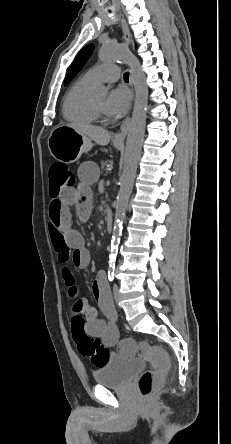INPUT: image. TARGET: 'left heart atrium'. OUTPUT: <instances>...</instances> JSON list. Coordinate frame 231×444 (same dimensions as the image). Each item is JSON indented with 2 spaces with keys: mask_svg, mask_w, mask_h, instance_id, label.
I'll list each match as a JSON object with an SVG mask.
<instances>
[{
  "mask_svg": "<svg viewBox=\"0 0 231 444\" xmlns=\"http://www.w3.org/2000/svg\"><path fill=\"white\" fill-rule=\"evenodd\" d=\"M131 95L125 87H117L110 91L104 106L107 115L113 118L123 116L129 108Z\"/></svg>",
  "mask_w": 231,
  "mask_h": 444,
  "instance_id": "1",
  "label": "left heart atrium"
}]
</instances>
